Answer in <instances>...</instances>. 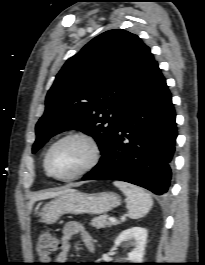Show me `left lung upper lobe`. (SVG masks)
I'll use <instances>...</instances> for the list:
<instances>
[{
	"label": "left lung upper lobe",
	"mask_w": 205,
	"mask_h": 265,
	"mask_svg": "<svg viewBox=\"0 0 205 265\" xmlns=\"http://www.w3.org/2000/svg\"><path fill=\"white\" fill-rule=\"evenodd\" d=\"M156 64L135 34L114 29L95 37L57 74L32 152L55 134L76 129L92 136L103 153L122 111Z\"/></svg>",
	"instance_id": "1"
}]
</instances>
